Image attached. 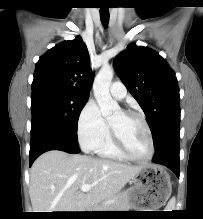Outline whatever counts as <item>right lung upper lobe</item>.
<instances>
[{
    "label": "right lung upper lobe",
    "mask_w": 203,
    "mask_h": 219,
    "mask_svg": "<svg viewBox=\"0 0 203 219\" xmlns=\"http://www.w3.org/2000/svg\"><path fill=\"white\" fill-rule=\"evenodd\" d=\"M92 80L87 47L77 36L56 45L40 57L32 86H56L89 97Z\"/></svg>",
    "instance_id": "right-lung-upper-lobe-1"
}]
</instances>
